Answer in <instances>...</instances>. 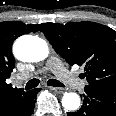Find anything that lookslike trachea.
Returning <instances> with one entry per match:
<instances>
[{"mask_svg": "<svg viewBox=\"0 0 116 116\" xmlns=\"http://www.w3.org/2000/svg\"><path fill=\"white\" fill-rule=\"evenodd\" d=\"M39 83H40L39 79H36V78L31 79L26 83L25 89L29 90V89L35 88L39 85ZM47 85L53 86V87H64V84L56 79H49L47 81Z\"/></svg>", "mask_w": 116, "mask_h": 116, "instance_id": "trachea-1", "label": "trachea"}]
</instances>
